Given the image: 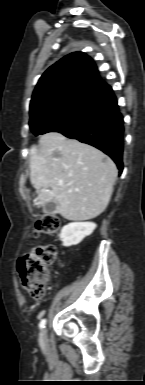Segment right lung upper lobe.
Segmentation results:
<instances>
[{"label": "right lung upper lobe", "instance_id": "right-lung-upper-lobe-1", "mask_svg": "<svg viewBox=\"0 0 145 385\" xmlns=\"http://www.w3.org/2000/svg\"><path fill=\"white\" fill-rule=\"evenodd\" d=\"M109 86L101 80L92 59L74 52L49 67L33 92L30 111L47 100L67 91L84 89L103 92Z\"/></svg>", "mask_w": 145, "mask_h": 385}]
</instances>
